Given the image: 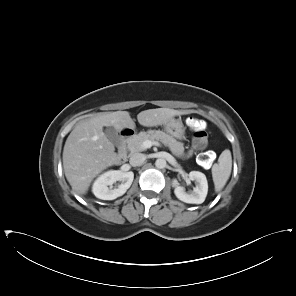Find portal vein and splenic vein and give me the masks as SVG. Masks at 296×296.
<instances>
[{
    "mask_svg": "<svg viewBox=\"0 0 296 296\" xmlns=\"http://www.w3.org/2000/svg\"><path fill=\"white\" fill-rule=\"evenodd\" d=\"M153 145L158 146L159 143L156 142V141H151V140H145V141L142 143V147H143L144 149H148V148L152 147Z\"/></svg>",
    "mask_w": 296,
    "mask_h": 296,
    "instance_id": "obj_1",
    "label": "portal vein and splenic vein"
}]
</instances>
